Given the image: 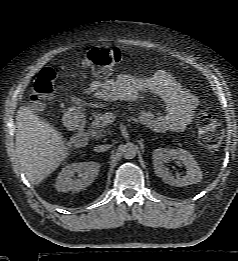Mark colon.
<instances>
[{
    "mask_svg": "<svg viewBox=\"0 0 238 261\" xmlns=\"http://www.w3.org/2000/svg\"><path fill=\"white\" fill-rule=\"evenodd\" d=\"M126 60V55L115 47H93L83 55V63L100 77L109 75ZM55 80L56 73L52 68L45 67L40 70L32 86L31 103L34 108H40L43 101L53 95ZM197 127L201 142L205 147L215 149L219 146L223 136V127L216 114L201 110Z\"/></svg>",
    "mask_w": 238,
    "mask_h": 261,
    "instance_id": "colon-1",
    "label": "colon"
}]
</instances>
